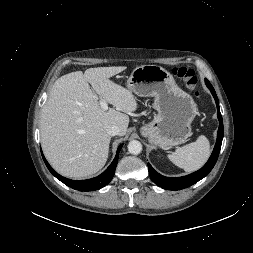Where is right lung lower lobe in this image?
<instances>
[{
  "mask_svg": "<svg viewBox=\"0 0 253 253\" xmlns=\"http://www.w3.org/2000/svg\"><path fill=\"white\" fill-rule=\"evenodd\" d=\"M123 144H121L118 149H117V153L116 156L113 160V162L110 164V166L99 176L95 177V178H91V179H87V180H71L65 177H62L61 175H59L57 172H55L52 167L49 165V163L46 161L45 157L43 156L42 153V157L43 160L47 166V168L49 169V171L61 182H63L64 184H66L67 186L79 190V191H94V190H98L102 187H104L105 185H107L111 179L114 176L115 173V168L117 166V162H118V154L122 148Z\"/></svg>",
  "mask_w": 253,
  "mask_h": 253,
  "instance_id": "obj_1",
  "label": "right lung lower lobe"
}]
</instances>
